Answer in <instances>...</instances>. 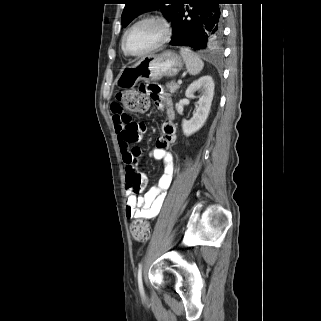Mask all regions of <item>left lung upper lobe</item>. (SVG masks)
I'll list each match as a JSON object with an SVG mask.
<instances>
[{"label": "left lung upper lobe", "mask_w": 321, "mask_h": 321, "mask_svg": "<svg viewBox=\"0 0 321 321\" xmlns=\"http://www.w3.org/2000/svg\"><path fill=\"white\" fill-rule=\"evenodd\" d=\"M182 1L183 0H126V5L121 16L122 26L126 27L138 15L156 9H160L168 21H172Z\"/></svg>", "instance_id": "obj_1"}]
</instances>
